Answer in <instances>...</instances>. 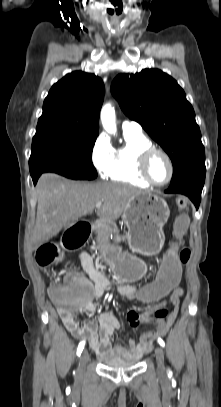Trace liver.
<instances>
[{"instance_id":"liver-1","label":"liver","mask_w":221,"mask_h":407,"mask_svg":"<svg viewBox=\"0 0 221 407\" xmlns=\"http://www.w3.org/2000/svg\"><path fill=\"white\" fill-rule=\"evenodd\" d=\"M37 215L31 243L38 247L70 227L82 216L96 213L103 222L111 223L124 212L129 199L144 193L126 184L113 182L78 183L54 173L40 176L36 185Z\"/></svg>"}]
</instances>
